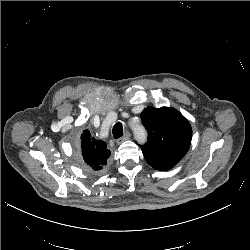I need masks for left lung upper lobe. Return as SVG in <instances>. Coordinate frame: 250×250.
I'll return each instance as SVG.
<instances>
[{"label":"left lung upper lobe","instance_id":"obj_1","mask_svg":"<svg viewBox=\"0 0 250 250\" xmlns=\"http://www.w3.org/2000/svg\"><path fill=\"white\" fill-rule=\"evenodd\" d=\"M148 131V141L140 145L150 166L166 171L175 166L186 154L192 139L187 119L176 109L147 107L141 113Z\"/></svg>","mask_w":250,"mask_h":250}]
</instances>
